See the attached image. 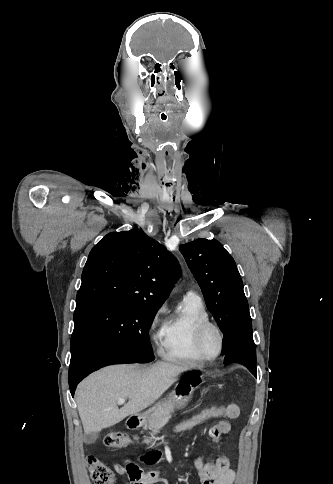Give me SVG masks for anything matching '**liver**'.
<instances>
[{
    "instance_id": "liver-1",
    "label": "liver",
    "mask_w": 333,
    "mask_h": 484,
    "mask_svg": "<svg viewBox=\"0 0 333 484\" xmlns=\"http://www.w3.org/2000/svg\"><path fill=\"white\" fill-rule=\"evenodd\" d=\"M187 370L185 365L156 361L108 366L89 375L76 390L84 432H99L151 406ZM119 398L129 399L121 409Z\"/></svg>"
}]
</instances>
